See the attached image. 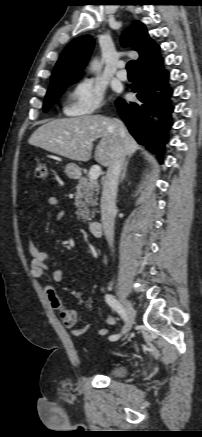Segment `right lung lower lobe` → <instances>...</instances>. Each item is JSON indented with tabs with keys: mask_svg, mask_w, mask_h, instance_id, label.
<instances>
[{
	"mask_svg": "<svg viewBox=\"0 0 202 437\" xmlns=\"http://www.w3.org/2000/svg\"><path fill=\"white\" fill-rule=\"evenodd\" d=\"M136 70L135 82L130 87L137 93L138 100L127 103L118 99L116 107L137 142L160 157L172 126V91L168 86V72L163 67L160 54L149 62L137 65ZM159 160L162 163V159Z\"/></svg>",
	"mask_w": 202,
	"mask_h": 437,
	"instance_id": "right-lung-lower-lobe-1",
	"label": "right lung lower lobe"
}]
</instances>
